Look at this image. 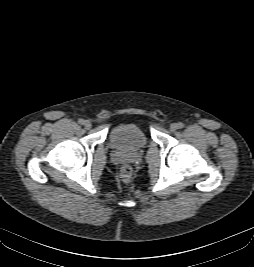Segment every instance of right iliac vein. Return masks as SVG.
Here are the masks:
<instances>
[{"mask_svg": "<svg viewBox=\"0 0 254 267\" xmlns=\"http://www.w3.org/2000/svg\"><path fill=\"white\" fill-rule=\"evenodd\" d=\"M84 127L86 129H90L92 127V124L89 120L84 121Z\"/></svg>", "mask_w": 254, "mask_h": 267, "instance_id": "1", "label": "right iliac vein"}]
</instances>
